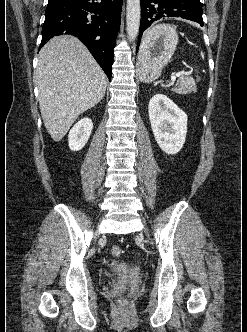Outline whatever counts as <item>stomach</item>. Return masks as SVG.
<instances>
[{"mask_svg": "<svg viewBox=\"0 0 247 332\" xmlns=\"http://www.w3.org/2000/svg\"><path fill=\"white\" fill-rule=\"evenodd\" d=\"M177 43L178 34L172 25H155L144 34L138 52V73L142 81H153L161 75Z\"/></svg>", "mask_w": 247, "mask_h": 332, "instance_id": "stomach-1", "label": "stomach"}]
</instances>
